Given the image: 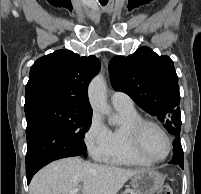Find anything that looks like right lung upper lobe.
Here are the masks:
<instances>
[{
    "label": "right lung upper lobe",
    "mask_w": 201,
    "mask_h": 194,
    "mask_svg": "<svg viewBox=\"0 0 201 194\" xmlns=\"http://www.w3.org/2000/svg\"><path fill=\"white\" fill-rule=\"evenodd\" d=\"M100 67L101 63L95 56L80 57L70 50L61 49L43 56L30 69L25 104L53 98L92 114L87 89Z\"/></svg>",
    "instance_id": "obj_1"
}]
</instances>
